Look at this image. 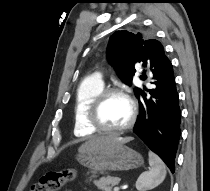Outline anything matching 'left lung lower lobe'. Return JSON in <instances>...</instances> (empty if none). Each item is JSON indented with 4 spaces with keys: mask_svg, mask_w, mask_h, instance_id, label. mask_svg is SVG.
<instances>
[{
    "mask_svg": "<svg viewBox=\"0 0 210 191\" xmlns=\"http://www.w3.org/2000/svg\"><path fill=\"white\" fill-rule=\"evenodd\" d=\"M151 71L153 89L144 87L137 97L139 115L133 131L174 173L181 111L173 66L167 57H163Z\"/></svg>",
    "mask_w": 210,
    "mask_h": 191,
    "instance_id": "1",
    "label": "left lung lower lobe"
}]
</instances>
